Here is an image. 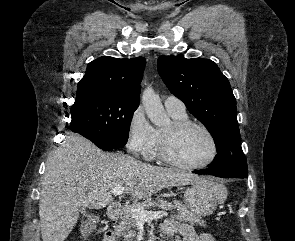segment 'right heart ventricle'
Masks as SVG:
<instances>
[{
    "instance_id": "obj_1",
    "label": "right heart ventricle",
    "mask_w": 295,
    "mask_h": 241,
    "mask_svg": "<svg viewBox=\"0 0 295 241\" xmlns=\"http://www.w3.org/2000/svg\"><path fill=\"white\" fill-rule=\"evenodd\" d=\"M170 116L173 118V120H187V114L186 113H176L172 111H168ZM161 130H156V140L155 144L150 152L149 157H155L158 155L159 151V140H160V135H161Z\"/></svg>"
}]
</instances>
